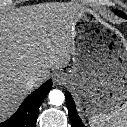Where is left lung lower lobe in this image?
I'll use <instances>...</instances> for the list:
<instances>
[{"mask_svg": "<svg viewBox=\"0 0 127 127\" xmlns=\"http://www.w3.org/2000/svg\"><path fill=\"white\" fill-rule=\"evenodd\" d=\"M65 97L72 127H84L82 121L80 120L77 114L75 103L73 101L72 96L70 95L69 92H66Z\"/></svg>", "mask_w": 127, "mask_h": 127, "instance_id": "0a47b994", "label": "left lung lower lobe"}]
</instances>
